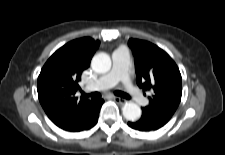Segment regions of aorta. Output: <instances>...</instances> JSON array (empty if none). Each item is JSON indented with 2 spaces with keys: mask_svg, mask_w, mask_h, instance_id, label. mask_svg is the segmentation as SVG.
<instances>
[{
  "mask_svg": "<svg viewBox=\"0 0 225 155\" xmlns=\"http://www.w3.org/2000/svg\"><path fill=\"white\" fill-rule=\"evenodd\" d=\"M111 59L107 54H96L91 61L92 69L100 74L106 73L111 69ZM123 116L129 121L138 120L141 117V108L133 102H127L122 108Z\"/></svg>",
  "mask_w": 225,
  "mask_h": 155,
  "instance_id": "762f6f07",
  "label": "aorta"
}]
</instances>
